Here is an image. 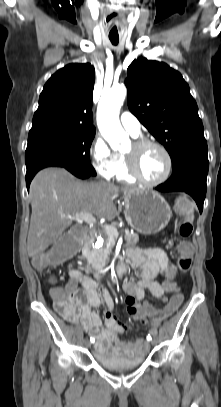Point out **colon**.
<instances>
[{
	"label": "colon",
	"instance_id": "colon-1",
	"mask_svg": "<svg viewBox=\"0 0 221 407\" xmlns=\"http://www.w3.org/2000/svg\"><path fill=\"white\" fill-rule=\"evenodd\" d=\"M175 209L182 217V222L178 227V234L181 237H188L193 231L194 209L191 201L180 196L176 200ZM87 232L83 222H76L72 225L71 230H66L65 234L59 235V240L56 246H53V252H44L43 256L36 254L34 256V265L36 272H42L43 268H60L61 261H70L71 255H78L82 239H86ZM195 249L194 242L190 239H181L178 246V266L167 265L165 269L164 284L166 286H175L177 284L176 277H179L180 270L187 272L192 264V255ZM180 269V270H179ZM54 300V307L60 315L69 313L71 308L79 300L78 294L74 290L68 288L54 287L51 290ZM185 297L182 292H174L167 305H163L162 309L158 305H137L135 310L131 311V316L136 322H150L154 317H167L168 314L178 313L181 304H184Z\"/></svg>",
	"mask_w": 221,
	"mask_h": 407
}]
</instances>
